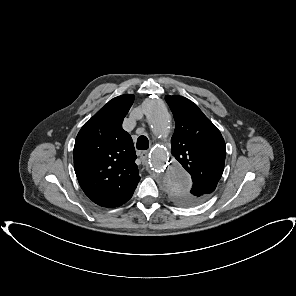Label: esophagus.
<instances>
[{"label": "esophagus", "instance_id": "obj_1", "mask_svg": "<svg viewBox=\"0 0 296 296\" xmlns=\"http://www.w3.org/2000/svg\"><path fill=\"white\" fill-rule=\"evenodd\" d=\"M138 156L140 157L141 161L145 163L148 157V151H139Z\"/></svg>", "mask_w": 296, "mask_h": 296}]
</instances>
